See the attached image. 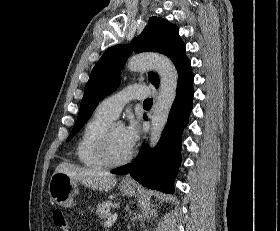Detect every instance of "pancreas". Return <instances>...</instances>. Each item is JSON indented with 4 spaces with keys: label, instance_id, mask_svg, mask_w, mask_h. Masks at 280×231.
Here are the masks:
<instances>
[{
    "label": "pancreas",
    "instance_id": "obj_1",
    "mask_svg": "<svg viewBox=\"0 0 280 231\" xmlns=\"http://www.w3.org/2000/svg\"><path fill=\"white\" fill-rule=\"evenodd\" d=\"M117 205H119V203H116V201H102V203H98L96 207L98 217H102V219H105V217H108V215H110L111 207H117Z\"/></svg>",
    "mask_w": 280,
    "mask_h": 231
}]
</instances>
